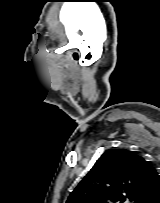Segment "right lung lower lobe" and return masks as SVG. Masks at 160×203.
Wrapping results in <instances>:
<instances>
[{"mask_svg":"<svg viewBox=\"0 0 160 203\" xmlns=\"http://www.w3.org/2000/svg\"><path fill=\"white\" fill-rule=\"evenodd\" d=\"M150 203H160V195L155 198L153 201H151Z\"/></svg>","mask_w":160,"mask_h":203,"instance_id":"1","label":"right lung lower lobe"}]
</instances>
